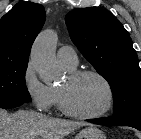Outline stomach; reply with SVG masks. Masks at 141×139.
Listing matches in <instances>:
<instances>
[{
  "label": "stomach",
  "mask_w": 141,
  "mask_h": 139,
  "mask_svg": "<svg viewBox=\"0 0 141 139\" xmlns=\"http://www.w3.org/2000/svg\"><path fill=\"white\" fill-rule=\"evenodd\" d=\"M75 139H106L104 133L95 126H88L82 129Z\"/></svg>",
  "instance_id": "stomach-1"
}]
</instances>
